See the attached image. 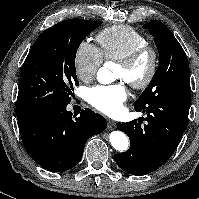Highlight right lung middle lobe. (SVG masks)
<instances>
[{"instance_id":"right-lung-middle-lobe-1","label":"right lung middle lobe","mask_w":199,"mask_h":199,"mask_svg":"<svg viewBox=\"0 0 199 199\" xmlns=\"http://www.w3.org/2000/svg\"><path fill=\"white\" fill-rule=\"evenodd\" d=\"M101 23L69 19L40 34L22 67L16 103L18 122H30L70 103L73 87L79 85L77 49Z\"/></svg>"}]
</instances>
